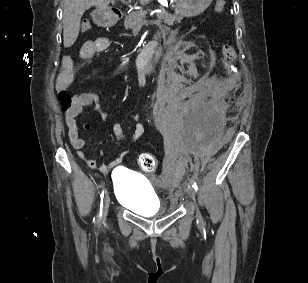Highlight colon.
Returning <instances> with one entry per match:
<instances>
[{"label": "colon", "mask_w": 308, "mask_h": 283, "mask_svg": "<svg viewBox=\"0 0 308 283\" xmlns=\"http://www.w3.org/2000/svg\"><path fill=\"white\" fill-rule=\"evenodd\" d=\"M226 3L225 0H216L215 3V11L222 12L225 9ZM91 25L88 21L84 20L81 25V29L83 32L89 31ZM236 58V53L233 46L229 43H226L223 48V67L226 72H229L233 66V63ZM59 101L62 106L67 110L72 106L73 98L67 91L59 92ZM77 130V129H76ZM139 167L145 172H152L157 167L156 158L150 153H143L139 156L138 159Z\"/></svg>", "instance_id": "1"}]
</instances>
